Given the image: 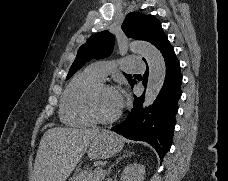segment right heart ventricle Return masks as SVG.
<instances>
[{
  "label": "right heart ventricle",
  "mask_w": 228,
  "mask_h": 181,
  "mask_svg": "<svg viewBox=\"0 0 228 181\" xmlns=\"http://www.w3.org/2000/svg\"><path fill=\"white\" fill-rule=\"evenodd\" d=\"M101 80L94 75L81 72L76 74L68 85L62 99L61 118L74 125H91L95 123L88 104L95 86Z\"/></svg>",
  "instance_id": "right-heart-ventricle-1"
}]
</instances>
